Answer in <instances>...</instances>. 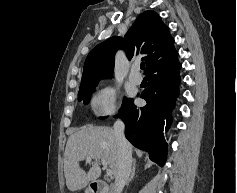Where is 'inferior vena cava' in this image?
Returning <instances> with one entry per match:
<instances>
[{
  "mask_svg": "<svg viewBox=\"0 0 237 193\" xmlns=\"http://www.w3.org/2000/svg\"><path fill=\"white\" fill-rule=\"evenodd\" d=\"M114 134L118 147V170L115 176V193H121L131 173V145L125 138V124L121 120L114 123Z\"/></svg>",
  "mask_w": 237,
  "mask_h": 193,
  "instance_id": "602c4592",
  "label": "inferior vena cava"
}]
</instances>
